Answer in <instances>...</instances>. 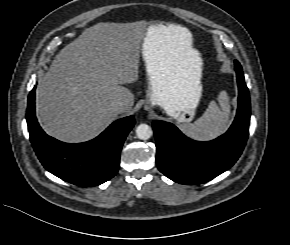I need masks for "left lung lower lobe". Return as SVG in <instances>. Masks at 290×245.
I'll use <instances>...</instances> for the list:
<instances>
[{"instance_id":"1","label":"left lung lower lobe","mask_w":290,"mask_h":245,"mask_svg":"<svg viewBox=\"0 0 290 245\" xmlns=\"http://www.w3.org/2000/svg\"><path fill=\"white\" fill-rule=\"evenodd\" d=\"M238 110L229 130L215 140L198 142L173 124L154 121L158 169L181 184H201L229 169L241 155L249 134L250 100L242 67L235 60Z\"/></svg>"}]
</instances>
